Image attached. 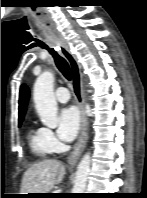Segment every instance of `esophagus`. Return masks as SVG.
<instances>
[{
	"instance_id": "obj_1",
	"label": "esophagus",
	"mask_w": 147,
	"mask_h": 198,
	"mask_svg": "<svg viewBox=\"0 0 147 198\" xmlns=\"http://www.w3.org/2000/svg\"><path fill=\"white\" fill-rule=\"evenodd\" d=\"M60 54L67 60L72 72L73 91L81 113V131L78 141L75 144L74 150L68 157V163L73 165L76 163L81 153L83 152L87 138H88V120L85 113V95L82 81V74L80 65L76 57L71 53L69 46L66 42L62 41L57 46Z\"/></svg>"
}]
</instances>
